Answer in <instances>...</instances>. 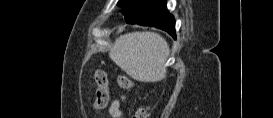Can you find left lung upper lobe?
I'll use <instances>...</instances> for the list:
<instances>
[{"label": "left lung upper lobe", "instance_id": "left-lung-upper-lobe-1", "mask_svg": "<svg viewBox=\"0 0 273 118\" xmlns=\"http://www.w3.org/2000/svg\"><path fill=\"white\" fill-rule=\"evenodd\" d=\"M127 23H136L161 11L166 6V0H119Z\"/></svg>", "mask_w": 273, "mask_h": 118}]
</instances>
